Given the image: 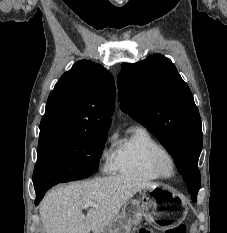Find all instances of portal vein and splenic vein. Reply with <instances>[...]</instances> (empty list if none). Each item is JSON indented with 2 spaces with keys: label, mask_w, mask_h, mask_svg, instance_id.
Listing matches in <instances>:
<instances>
[{
  "label": "portal vein and splenic vein",
  "mask_w": 227,
  "mask_h": 233,
  "mask_svg": "<svg viewBox=\"0 0 227 233\" xmlns=\"http://www.w3.org/2000/svg\"><path fill=\"white\" fill-rule=\"evenodd\" d=\"M88 207H98V205L97 204H95L94 202H92V201H88V202H86L85 204H84V207L83 208H88Z\"/></svg>",
  "instance_id": "18ae733b"
}]
</instances>
